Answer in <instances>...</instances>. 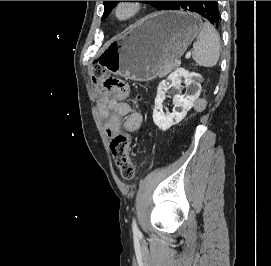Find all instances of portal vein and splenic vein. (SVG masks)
<instances>
[{
  "mask_svg": "<svg viewBox=\"0 0 271 266\" xmlns=\"http://www.w3.org/2000/svg\"><path fill=\"white\" fill-rule=\"evenodd\" d=\"M190 56H191V53H190V52H187V53L185 54V58H186V59H189V58H190ZM177 64H178V65H180V64H181V62H180V61H178V62H177Z\"/></svg>",
  "mask_w": 271,
  "mask_h": 266,
  "instance_id": "1",
  "label": "portal vein and splenic vein"
}]
</instances>
